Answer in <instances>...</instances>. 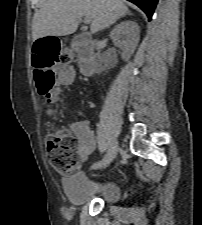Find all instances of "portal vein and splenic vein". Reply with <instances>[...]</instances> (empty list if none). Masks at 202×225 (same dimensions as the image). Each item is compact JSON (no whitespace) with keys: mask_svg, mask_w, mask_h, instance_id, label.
<instances>
[{"mask_svg":"<svg viewBox=\"0 0 202 225\" xmlns=\"http://www.w3.org/2000/svg\"><path fill=\"white\" fill-rule=\"evenodd\" d=\"M91 20H92V19H91L90 17H85V18H84V23H85V24H89V23L91 22Z\"/></svg>","mask_w":202,"mask_h":225,"instance_id":"18ae733b","label":"portal vein and splenic vein"}]
</instances>
